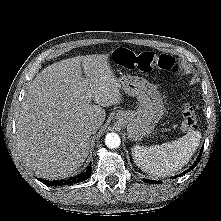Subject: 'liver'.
Masks as SVG:
<instances>
[{
	"instance_id": "liver-1",
	"label": "liver",
	"mask_w": 221,
	"mask_h": 221,
	"mask_svg": "<svg viewBox=\"0 0 221 221\" xmlns=\"http://www.w3.org/2000/svg\"><path fill=\"white\" fill-rule=\"evenodd\" d=\"M121 100L108 55L77 56L46 67L25 93L16 124L25 165L47 180L73 175L89 154L88 123L97 120L101 126L103 108Z\"/></svg>"
}]
</instances>
